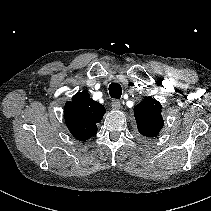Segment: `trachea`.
I'll use <instances>...</instances> for the list:
<instances>
[{
  "label": "trachea",
  "instance_id": "3493384b",
  "mask_svg": "<svg viewBox=\"0 0 211 211\" xmlns=\"http://www.w3.org/2000/svg\"><path fill=\"white\" fill-rule=\"evenodd\" d=\"M109 94L114 99H119L122 94L121 85L118 83H111L109 85Z\"/></svg>",
  "mask_w": 211,
  "mask_h": 211
}]
</instances>
